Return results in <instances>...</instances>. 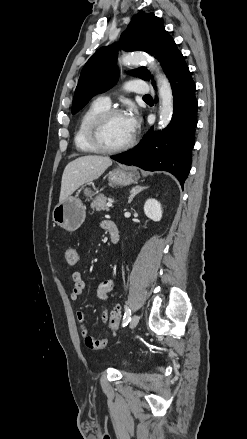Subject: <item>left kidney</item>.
<instances>
[{"instance_id": "obj_1", "label": "left kidney", "mask_w": 247, "mask_h": 439, "mask_svg": "<svg viewBox=\"0 0 247 439\" xmlns=\"http://www.w3.org/2000/svg\"><path fill=\"white\" fill-rule=\"evenodd\" d=\"M144 213L149 219L155 222L160 221L162 218L161 204L155 199H148L144 204Z\"/></svg>"}]
</instances>
